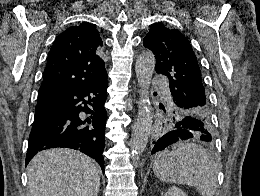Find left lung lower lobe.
<instances>
[{
    "instance_id": "0a47b994",
    "label": "left lung lower lobe",
    "mask_w": 260,
    "mask_h": 196,
    "mask_svg": "<svg viewBox=\"0 0 260 196\" xmlns=\"http://www.w3.org/2000/svg\"><path fill=\"white\" fill-rule=\"evenodd\" d=\"M204 124L200 121L191 119H184L179 122L176 127L163 135L154 145L152 153L165 149L170 144H173L179 140H186L192 138L196 132L204 131ZM202 138L206 141H212L213 138L210 135H203Z\"/></svg>"
}]
</instances>
